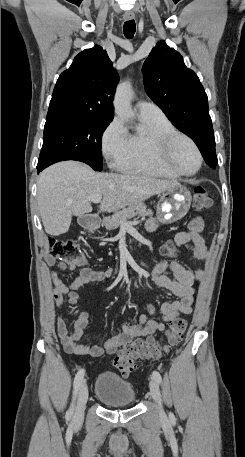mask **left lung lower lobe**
<instances>
[{"label": "left lung lower lobe", "instance_id": "left-lung-lower-lobe-1", "mask_svg": "<svg viewBox=\"0 0 245 457\" xmlns=\"http://www.w3.org/2000/svg\"><path fill=\"white\" fill-rule=\"evenodd\" d=\"M205 162L212 168L216 167L217 157L215 151L214 133L211 132L196 142Z\"/></svg>", "mask_w": 245, "mask_h": 457}]
</instances>
